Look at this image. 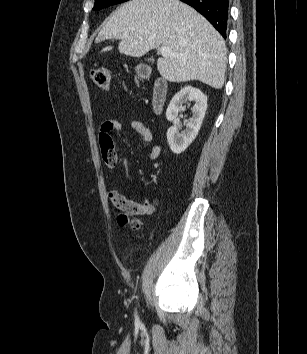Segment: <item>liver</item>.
Here are the masks:
<instances>
[{"instance_id":"1","label":"liver","mask_w":307,"mask_h":354,"mask_svg":"<svg viewBox=\"0 0 307 354\" xmlns=\"http://www.w3.org/2000/svg\"><path fill=\"white\" fill-rule=\"evenodd\" d=\"M119 39L120 53L142 57L168 46L178 57L157 60L160 75L170 82L198 80L221 89L225 80L226 47L218 31L196 10L179 0H131L118 8L97 41ZM106 47L102 52L110 51Z\"/></svg>"}]
</instances>
